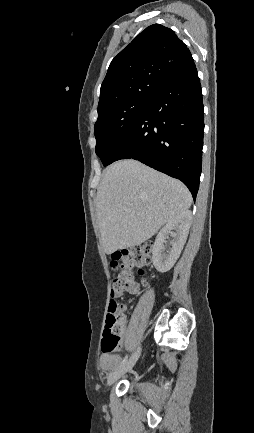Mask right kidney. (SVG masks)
I'll return each mask as SVG.
<instances>
[{
    "label": "right kidney",
    "mask_w": 254,
    "mask_h": 433,
    "mask_svg": "<svg viewBox=\"0 0 254 433\" xmlns=\"http://www.w3.org/2000/svg\"><path fill=\"white\" fill-rule=\"evenodd\" d=\"M191 221L192 214L187 210L170 220L160 230L152 249L153 265L157 271L165 273L173 267L186 242ZM172 230H175V232H172ZM169 234L172 235L173 240L170 243L171 247L167 248L164 244H166Z\"/></svg>",
    "instance_id": "right-kidney-1"
}]
</instances>
